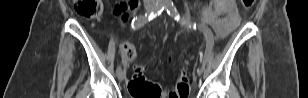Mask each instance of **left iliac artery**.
I'll return each instance as SVG.
<instances>
[{"label":"left iliac artery","mask_w":308,"mask_h":98,"mask_svg":"<svg viewBox=\"0 0 308 98\" xmlns=\"http://www.w3.org/2000/svg\"><path fill=\"white\" fill-rule=\"evenodd\" d=\"M165 8H166V11L167 13L173 17L175 20L177 21H180L182 24H189V21L188 20H185V19H181L180 18V15L176 9V7L174 6V4L172 2H167L165 4ZM191 27V25H190ZM193 28L197 29L198 31H203V34L206 36V40H207V45H206V48H205V51H204V60L205 61H208L209 60V56H210V53H211V50H212V46L214 45V37H213V34L211 33V29H212V26L210 24H198L197 26L194 25ZM203 60V65L205 63V61Z\"/></svg>","instance_id":"44dca946"}]
</instances>
